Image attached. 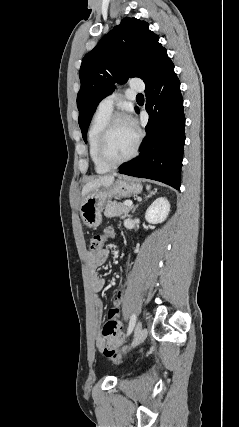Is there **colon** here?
Instances as JSON below:
<instances>
[{"instance_id": "obj_1", "label": "colon", "mask_w": 239, "mask_h": 427, "mask_svg": "<svg viewBox=\"0 0 239 427\" xmlns=\"http://www.w3.org/2000/svg\"><path fill=\"white\" fill-rule=\"evenodd\" d=\"M112 235L110 229L106 230L103 235H95L90 239L89 242V254L95 255L101 249L105 240ZM122 284L120 286H114L112 290V306L119 307L120 301L125 300V293L122 290ZM117 310L113 309L109 311L107 320L105 321L102 328V337L105 345L103 353L107 357H114L121 344L123 334L120 330L119 322L116 318Z\"/></svg>"}]
</instances>
